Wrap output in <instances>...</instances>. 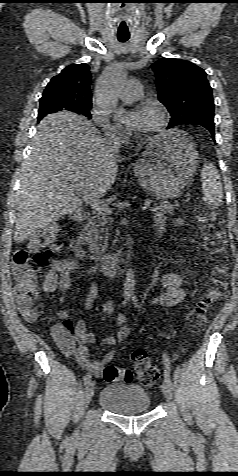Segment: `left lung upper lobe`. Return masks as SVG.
I'll use <instances>...</instances> for the list:
<instances>
[{
    "label": "left lung upper lobe",
    "instance_id": "obj_1",
    "mask_svg": "<svg viewBox=\"0 0 238 476\" xmlns=\"http://www.w3.org/2000/svg\"><path fill=\"white\" fill-rule=\"evenodd\" d=\"M158 98L171 119L167 128L180 124L214 123V102L206 72L197 65L173 58L152 64Z\"/></svg>",
    "mask_w": 238,
    "mask_h": 476
}]
</instances>
